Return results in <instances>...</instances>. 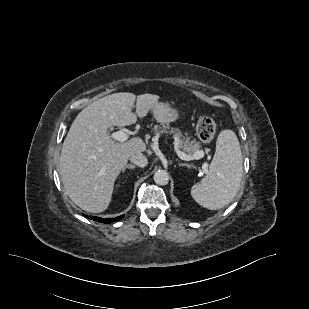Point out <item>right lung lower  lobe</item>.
I'll use <instances>...</instances> for the list:
<instances>
[{
	"mask_svg": "<svg viewBox=\"0 0 309 309\" xmlns=\"http://www.w3.org/2000/svg\"><path fill=\"white\" fill-rule=\"evenodd\" d=\"M85 217L93 219L94 221H98V222H101V223H110V222H114V221H117V220L122 218V216L116 217L115 219H113V218L103 219V218H100V217H89V216H85Z\"/></svg>",
	"mask_w": 309,
	"mask_h": 309,
	"instance_id": "98d812e1",
	"label": "right lung lower lobe"
}]
</instances>
